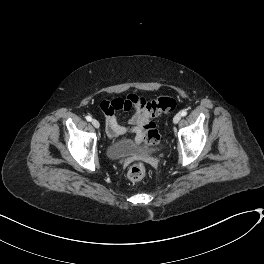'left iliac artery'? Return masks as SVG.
<instances>
[{
    "mask_svg": "<svg viewBox=\"0 0 264 264\" xmlns=\"http://www.w3.org/2000/svg\"><path fill=\"white\" fill-rule=\"evenodd\" d=\"M180 114H181V116H186L187 115V111L183 110Z\"/></svg>",
    "mask_w": 264,
    "mask_h": 264,
    "instance_id": "obj_1",
    "label": "left iliac artery"
}]
</instances>
